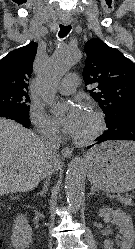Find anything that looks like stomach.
Wrapping results in <instances>:
<instances>
[{"instance_id": "0dacf381", "label": "stomach", "mask_w": 135, "mask_h": 249, "mask_svg": "<svg viewBox=\"0 0 135 249\" xmlns=\"http://www.w3.org/2000/svg\"><path fill=\"white\" fill-rule=\"evenodd\" d=\"M87 174L97 188L123 193L135 189V142L108 141L87 154Z\"/></svg>"}]
</instances>
